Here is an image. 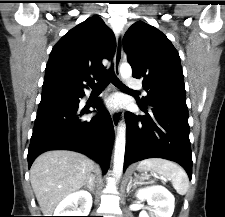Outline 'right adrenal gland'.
Instances as JSON below:
<instances>
[{"instance_id": "2a0ac1e0", "label": "right adrenal gland", "mask_w": 225, "mask_h": 217, "mask_svg": "<svg viewBox=\"0 0 225 217\" xmlns=\"http://www.w3.org/2000/svg\"><path fill=\"white\" fill-rule=\"evenodd\" d=\"M94 187H95V184H94V179L91 178L87 184L84 185V188H88L89 191L91 192H94Z\"/></svg>"}]
</instances>
